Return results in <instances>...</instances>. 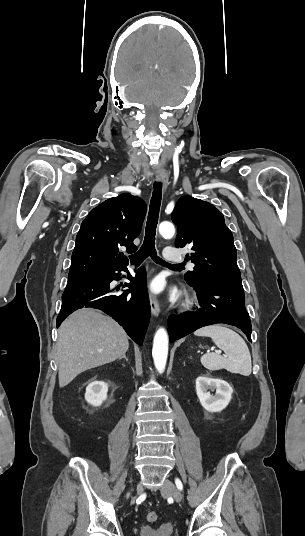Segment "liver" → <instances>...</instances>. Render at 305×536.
<instances>
[{
	"instance_id": "obj_1",
	"label": "liver",
	"mask_w": 305,
	"mask_h": 536,
	"mask_svg": "<svg viewBox=\"0 0 305 536\" xmlns=\"http://www.w3.org/2000/svg\"><path fill=\"white\" fill-rule=\"evenodd\" d=\"M128 336L112 318L92 308L71 314L58 330L59 386H68L78 374L125 356Z\"/></svg>"
}]
</instances>
